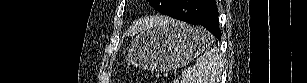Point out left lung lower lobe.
I'll return each mask as SVG.
<instances>
[{"instance_id": "1", "label": "left lung lower lobe", "mask_w": 307, "mask_h": 83, "mask_svg": "<svg viewBox=\"0 0 307 83\" xmlns=\"http://www.w3.org/2000/svg\"><path fill=\"white\" fill-rule=\"evenodd\" d=\"M165 14L193 25H202L220 39L219 13L215 0H174Z\"/></svg>"}]
</instances>
